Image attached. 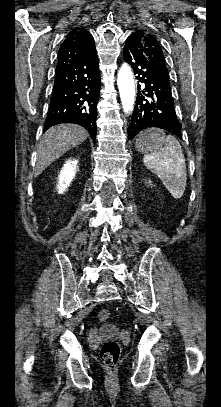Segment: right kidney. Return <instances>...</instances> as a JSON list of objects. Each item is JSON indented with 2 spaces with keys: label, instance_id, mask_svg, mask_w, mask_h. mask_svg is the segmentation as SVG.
<instances>
[{
  "label": "right kidney",
  "instance_id": "1",
  "mask_svg": "<svg viewBox=\"0 0 221 407\" xmlns=\"http://www.w3.org/2000/svg\"><path fill=\"white\" fill-rule=\"evenodd\" d=\"M77 163V160H69L64 164L58 176L59 182L57 190L59 194H63L74 179L77 171Z\"/></svg>",
  "mask_w": 221,
  "mask_h": 407
}]
</instances>
